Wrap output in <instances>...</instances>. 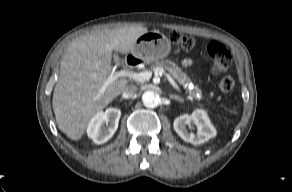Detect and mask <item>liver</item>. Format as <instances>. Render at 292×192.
<instances>
[{
    "instance_id": "6515ba94",
    "label": "liver",
    "mask_w": 292,
    "mask_h": 192,
    "mask_svg": "<svg viewBox=\"0 0 292 192\" xmlns=\"http://www.w3.org/2000/svg\"><path fill=\"white\" fill-rule=\"evenodd\" d=\"M147 32L143 26L106 29L82 35L67 47L52 99L57 125L67 137L79 140L91 119L121 94L128 83L124 78L99 95L113 72L112 51L128 53Z\"/></svg>"
}]
</instances>
